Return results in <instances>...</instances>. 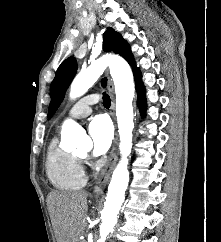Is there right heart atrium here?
I'll return each instance as SVG.
<instances>
[{
	"label": "right heart atrium",
	"instance_id": "obj_1",
	"mask_svg": "<svg viewBox=\"0 0 221 242\" xmlns=\"http://www.w3.org/2000/svg\"><path fill=\"white\" fill-rule=\"evenodd\" d=\"M87 166L89 167H93L94 166V163L92 161H85L84 162Z\"/></svg>",
	"mask_w": 221,
	"mask_h": 242
}]
</instances>
